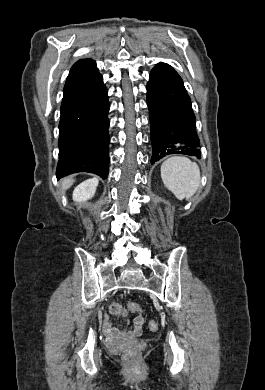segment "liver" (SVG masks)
Masks as SVG:
<instances>
[{"mask_svg": "<svg viewBox=\"0 0 265 390\" xmlns=\"http://www.w3.org/2000/svg\"><path fill=\"white\" fill-rule=\"evenodd\" d=\"M74 183V179L72 177H66L61 180V186L63 190H67Z\"/></svg>", "mask_w": 265, "mask_h": 390, "instance_id": "liver-1", "label": "liver"}]
</instances>
